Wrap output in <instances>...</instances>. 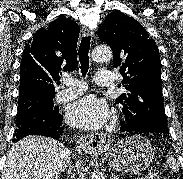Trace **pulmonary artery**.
<instances>
[{
	"label": "pulmonary artery",
	"instance_id": "pulmonary-artery-1",
	"mask_svg": "<svg viewBox=\"0 0 183 179\" xmlns=\"http://www.w3.org/2000/svg\"><path fill=\"white\" fill-rule=\"evenodd\" d=\"M95 83L98 86H110L112 84V73L106 70H102L96 73L94 78ZM68 88L59 91L55 95V100L57 102H66L79 95H81L87 88L83 81L77 79H67L64 81Z\"/></svg>",
	"mask_w": 183,
	"mask_h": 179
}]
</instances>
